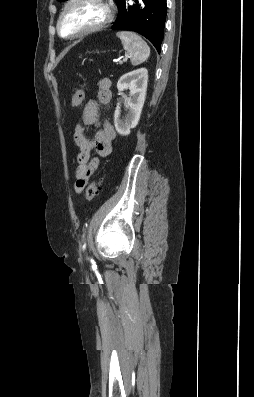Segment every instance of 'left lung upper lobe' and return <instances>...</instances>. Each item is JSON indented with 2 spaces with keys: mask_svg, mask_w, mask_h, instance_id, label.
<instances>
[{
  "mask_svg": "<svg viewBox=\"0 0 254 397\" xmlns=\"http://www.w3.org/2000/svg\"><path fill=\"white\" fill-rule=\"evenodd\" d=\"M57 1H60V2H61V1H66V0H57Z\"/></svg>",
  "mask_w": 254,
  "mask_h": 397,
  "instance_id": "left-lung-upper-lobe-1",
  "label": "left lung upper lobe"
}]
</instances>
